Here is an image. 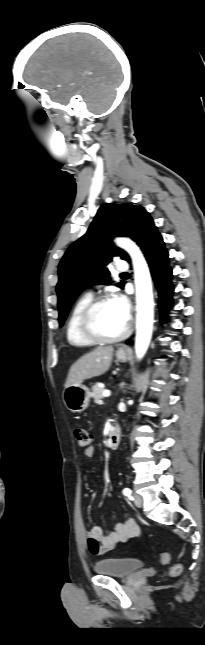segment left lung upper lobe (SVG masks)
Returning <instances> with one entry per match:
<instances>
[{"label":"left lung upper lobe","instance_id":"left-lung-upper-lobe-1","mask_svg":"<svg viewBox=\"0 0 205 645\" xmlns=\"http://www.w3.org/2000/svg\"><path fill=\"white\" fill-rule=\"evenodd\" d=\"M154 225L150 214L132 204H102L88 231L66 251L58 269L59 324L63 325L76 297L87 287L109 283L106 265L114 256L129 260L125 251L111 242L115 236H126L140 244ZM125 282L117 284L123 288Z\"/></svg>","mask_w":205,"mask_h":645}]
</instances>
